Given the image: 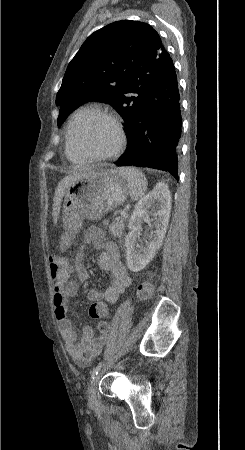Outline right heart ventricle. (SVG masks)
<instances>
[{
  "label": "right heart ventricle",
  "instance_id": "e07e8e85",
  "mask_svg": "<svg viewBox=\"0 0 245 450\" xmlns=\"http://www.w3.org/2000/svg\"><path fill=\"white\" fill-rule=\"evenodd\" d=\"M95 110H98V109H96L93 106H84V107L79 108L74 113L73 117L77 116V117L82 118V117H85L88 114L92 113ZM65 152H66L67 157L71 161H74V162H84V161H86V159L84 157H82L80 154H78L75 150L72 149L68 132H67V135H66Z\"/></svg>",
  "mask_w": 245,
  "mask_h": 450
}]
</instances>
